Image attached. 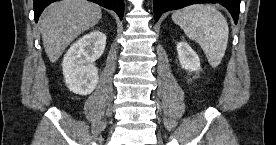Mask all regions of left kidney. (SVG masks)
<instances>
[{
	"label": "left kidney",
	"instance_id": "left-kidney-1",
	"mask_svg": "<svg viewBox=\"0 0 276 145\" xmlns=\"http://www.w3.org/2000/svg\"><path fill=\"white\" fill-rule=\"evenodd\" d=\"M177 52L180 65L183 69L188 71L200 70V59L188 43L184 41L179 42L177 44Z\"/></svg>",
	"mask_w": 276,
	"mask_h": 145
}]
</instances>
